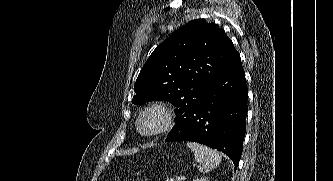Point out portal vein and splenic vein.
<instances>
[{"label": "portal vein and splenic vein", "instance_id": "portal-vein-and-splenic-vein-1", "mask_svg": "<svg viewBox=\"0 0 333 181\" xmlns=\"http://www.w3.org/2000/svg\"><path fill=\"white\" fill-rule=\"evenodd\" d=\"M183 177H177V181H182Z\"/></svg>", "mask_w": 333, "mask_h": 181}]
</instances>
